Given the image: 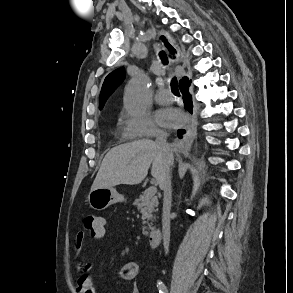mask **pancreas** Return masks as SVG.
<instances>
[{
	"instance_id": "1",
	"label": "pancreas",
	"mask_w": 293,
	"mask_h": 293,
	"mask_svg": "<svg viewBox=\"0 0 293 293\" xmlns=\"http://www.w3.org/2000/svg\"><path fill=\"white\" fill-rule=\"evenodd\" d=\"M133 204L137 206L138 210L142 214L143 234L148 235V231L154 229L149 221H153L155 219L154 213L158 211V199L154 195H147V192L144 191Z\"/></svg>"
}]
</instances>
